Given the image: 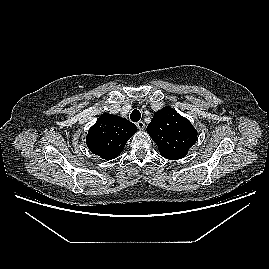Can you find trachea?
<instances>
[{
	"label": "trachea",
	"mask_w": 269,
	"mask_h": 269,
	"mask_svg": "<svg viewBox=\"0 0 269 269\" xmlns=\"http://www.w3.org/2000/svg\"><path fill=\"white\" fill-rule=\"evenodd\" d=\"M141 118V113L139 110L135 109L131 112L130 114V119L133 121V122H137L139 121Z\"/></svg>",
	"instance_id": "3493384b"
}]
</instances>
